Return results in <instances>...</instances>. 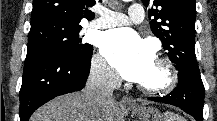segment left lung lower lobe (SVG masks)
<instances>
[{"label": "left lung lower lobe", "mask_w": 217, "mask_h": 121, "mask_svg": "<svg viewBox=\"0 0 217 121\" xmlns=\"http://www.w3.org/2000/svg\"><path fill=\"white\" fill-rule=\"evenodd\" d=\"M178 80L177 87L170 94L148 99L177 106L196 121H202L205 92L200 74L186 69L179 70Z\"/></svg>", "instance_id": "left-lung-lower-lobe-1"}]
</instances>
